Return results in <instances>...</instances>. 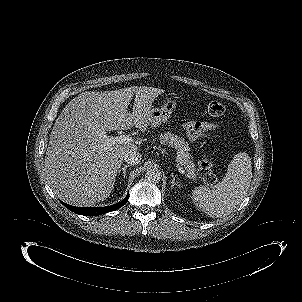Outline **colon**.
I'll return each mask as SVG.
<instances>
[{"mask_svg":"<svg viewBox=\"0 0 302 302\" xmlns=\"http://www.w3.org/2000/svg\"><path fill=\"white\" fill-rule=\"evenodd\" d=\"M208 112L211 116L219 117L225 113V106L217 101L210 102L208 105ZM199 175L203 181L210 186L217 182V178L212 170V161L209 156H204L199 163Z\"/></svg>","mask_w":302,"mask_h":302,"instance_id":"1","label":"colon"}]
</instances>
